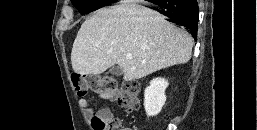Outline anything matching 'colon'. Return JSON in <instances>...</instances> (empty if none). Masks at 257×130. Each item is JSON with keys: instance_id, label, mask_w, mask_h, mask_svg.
Instances as JSON below:
<instances>
[{"instance_id": "1", "label": "colon", "mask_w": 257, "mask_h": 130, "mask_svg": "<svg viewBox=\"0 0 257 130\" xmlns=\"http://www.w3.org/2000/svg\"><path fill=\"white\" fill-rule=\"evenodd\" d=\"M72 83L79 97H83L88 91L115 99L127 112L133 113L139 109L140 85L137 81H127L121 87L113 77L99 75H72ZM94 130H132L124 128L117 118L105 117L95 114L91 119Z\"/></svg>"}]
</instances>
